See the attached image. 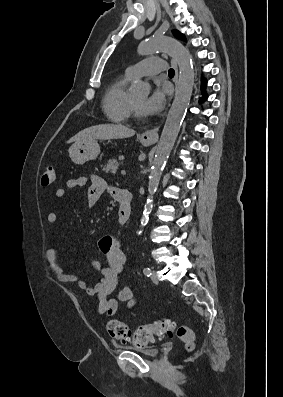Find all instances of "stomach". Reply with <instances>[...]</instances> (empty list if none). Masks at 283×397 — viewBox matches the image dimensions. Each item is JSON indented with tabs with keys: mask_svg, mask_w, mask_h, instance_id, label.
Segmentation results:
<instances>
[{
	"mask_svg": "<svg viewBox=\"0 0 283 397\" xmlns=\"http://www.w3.org/2000/svg\"><path fill=\"white\" fill-rule=\"evenodd\" d=\"M140 142L144 146L151 145L150 141L144 139H141ZM99 153L100 146L95 139L74 143L69 149V157L72 162L78 165H82L87 161L96 159Z\"/></svg>",
	"mask_w": 283,
	"mask_h": 397,
	"instance_id": "stomach-1",
	"label": "stomach"
}]
</instances>
